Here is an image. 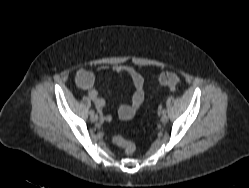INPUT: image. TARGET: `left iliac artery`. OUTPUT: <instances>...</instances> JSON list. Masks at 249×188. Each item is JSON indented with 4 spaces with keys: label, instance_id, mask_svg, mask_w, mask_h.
Here are the masks:
<instances>
[{
    "label": "left iliac artery",
    "instance_id": "1",
    "mask_svg": "<svg viewBox=\"0 0 249 188\" xmlns=\"http://www.w3.org/2000/svg\"><path fill=\"white\" fill-rule=\"evenodd\" d=\"M166 112H167L166 109L162 110V114H166Z\"/></svg>",
    "mask_w": 249,
    "mask_h": 188
}]
</instances>
